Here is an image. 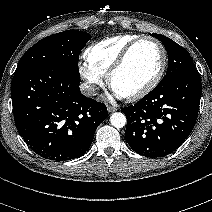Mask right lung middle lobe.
<instances>
[{
    "label": "right lung middle lobe",
    "mask_w": 212,
    "mask_h": 212,
    "mask_svg": "<svg viewBox=\"0 0 212 212\" xmlns=\"http://www.w3.org/2000/svg\"><path fill=\"white\" fill-rule=\"evenodd\" d=\"M90 39L88 33L77 30H67L43 38L23 55L15 74L35 67L53 66L79 76V54Z\"/></svg>",
    "instance_id": "1"
}]
</instances>
